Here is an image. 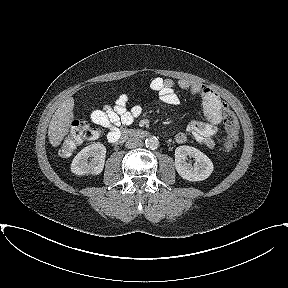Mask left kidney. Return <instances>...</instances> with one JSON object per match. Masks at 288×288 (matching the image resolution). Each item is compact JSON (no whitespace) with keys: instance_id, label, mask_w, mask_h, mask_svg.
<instances>
[{"instance_id":"obj_1","label":"left kidney","mask_w":288,"mask_h":288,"mask_svg":"<svg viewBox=\"0 0 288 288\" xmlns=\"http://www.w3.org/2000/svg\"><path fill=\"white\" fill-rule=\"evenodd\" d=\"M187 156L194 158L192 166L187 163ZM175 168L178 174L188 181H203L213 171L212 161L200 150L191 146H179L175 150Z\"/></svg>"}]
</instances>
